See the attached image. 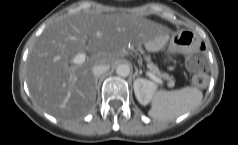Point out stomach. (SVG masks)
<instances>
[{"instance_id": "obj_1", "label": "stomach", "mask_w": 238, "mask_h": 145, "mask_svg": "<svg viewBox=\"0 0 238 145\" xmlns=\"http://www.w3.org/2000/svg\"><path fill=\"white\" fill-rule=\"evenodd\" d=\"M197 42H201V39L196 32L180 31L170 38L169 46L174 53L189 55L194 52L193 47Z\"/></svg>"}]
</instances>
